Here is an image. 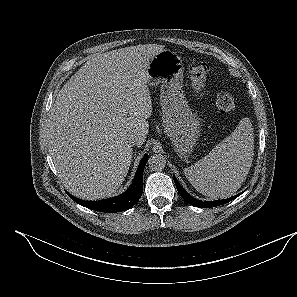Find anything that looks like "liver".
I'll return each mask as SVG.
<instances>
[{
  "instance_id": "1",
  "label": "liver",
  "mask_w": 297,
  "mask_h": 297,
  "mask_svg": "<svg viewBox=\"0 0 297 297\" xmlns=\"http://www.w3.org/2000/svg\"><path fill=\"white\" fill-rule=\"evenodd\" d=\"M164 46L144 44L93 56L59 91L48 121L50 154L76 197L111 196L123 183L133 150L127 140L149 130L147 67Z\"/></svg>"
}]
</instances>
